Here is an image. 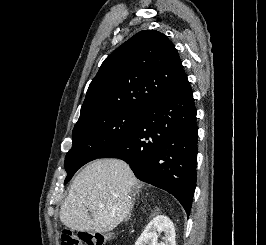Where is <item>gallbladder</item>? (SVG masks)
I'll return each instance as SVG.
<instances>
[{
	"label": "gallbladder",
	"mask_w": 266,
	"mask_h": 245,
	"mask_svg": "<svg viewBox=\"0 0 266 245\" xmlns=\"http://www.w3.org/2000/svg\"><path fill=\"white\" fill-rule=\"evenodd\" d=\"M89 217H92V213H89Z\"/></svg>",
	"instance_id": "1"
}]
</instances>
